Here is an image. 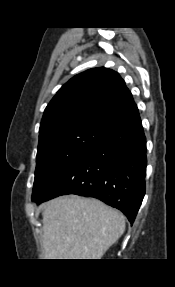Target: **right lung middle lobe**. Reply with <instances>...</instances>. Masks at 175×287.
I'll return each mask as SVG.
<instances>
[{
  "instance_id": "dd1d6c3e",
  "label": "right lung middle lobe",
  "mask_w": 175,
  "mask_h": 287,
  "mask_svg": "<svg viewBox=\"0 0 175 287\" xmlns=\"http://www.w3.org/2000/svg\"><path fill=\"white\" fill-rule=\"evenodd\" d=\"M114 126L101 122L65 124L39 136L33 195L42 194Z\"/></svg>"
}]
</instances>
